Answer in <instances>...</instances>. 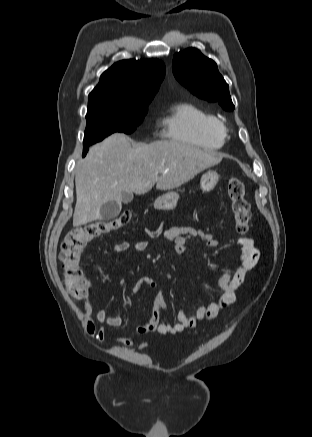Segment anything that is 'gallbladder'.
I'll return each instance as SVG.
<instances>
[{"label":"gallbladder","mask_w":312,"mask_h":437,"mask_svg":"<svg viewBox=\"0 0 312 437\" xmlns=\"http://www.w3.org/2000/svg\"><path fill=\"white\" fill-rule=\"evenodd\" d=\"M133 199V193L123 192L122 200L123 203H129ZM121 212V204L116 201H108L100 208L101 219L105 221L112 220L116 218Z\"/></svg>","instance_id":"obj_1"}]
</instances>
